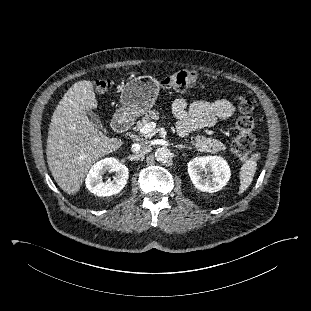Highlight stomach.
I'll list each match as a JSON object with an SVG mask.
<instances>
[{"label": "stomach", "mask_w": 311, "mask_h": 311, "mask_svg": "<svg viewBox=\"0 0 311 311\" xmlns=\"http://www.w3.org/2000/svg\"><path fill=\"white\" fill-rule=\"evenodd\" d=\"M159 83L151 76L130 80L121 91L120 102L123 107L117 110L119 117H138L149 111L157 99Z\"/></svg>", "instance_id": "obj_1"}]
</instances>
